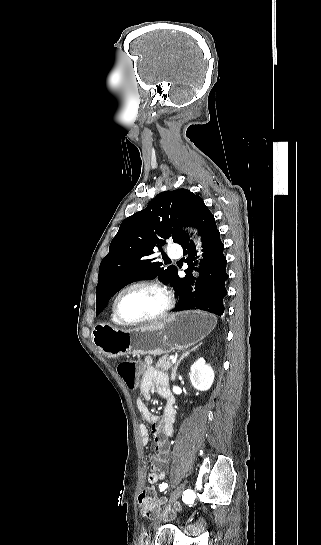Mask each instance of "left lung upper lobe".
<instances>
[{
	"mask_svg": "<svg viewBox=\"0 0 321 545\" xmlns=\"http://www.w3.org/2000/svg\"><path fill=\"white\" fill-rule=\"evenodd\" d=\"M201 204L203 199L187 189L165 191L153 198L144 210L121 223L109 253L100 264L96 315L115 293L134 281L159 277L171 283L177 268L162 267L151 255L156 248L161 251L167 239L180 243L185 232L178 226L189 225Z\"/></svg>",
	"mask_w": 321,
	"mask_h": 545,
	"instance_id": "5c2ea615",
	"label": "left lung upper lobe"
}]
</instances>
